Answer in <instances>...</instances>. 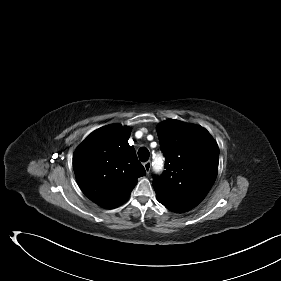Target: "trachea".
<instances>
[{
  "label": "trachea",
  "mask_w": 281,
  "mask_h": 281,
  "mask_svg": "<svg viewBox=\"0 0 281 281\" xmlns=\"http://www.w3.org/2000/svg\"><path fill=\"white\" fill-rule=\"evenodd\" d=\"M149 155H150L149 151L145 147H142L138 150V156H139L140 161H142V162H146L149 159Z\"/></svg>",
  "instance_id": "1"
}]
</instances>
